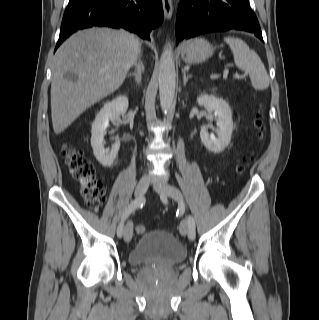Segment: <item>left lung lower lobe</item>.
<instances>
[{"mask_svg": "<svg viewBox=\"0 0 319 320\" xmlns=\"http://www.w3.org/2000/svg\"><path fill=\"white\" fill-rule=\"evenodd\" d=\"M244 30L263 41L258 20L249 0H183L176 20L177 43L199 34Z\"/></svg>", "mask_w": 319, "mask_h": 320, "instance_id": "obj_1", "label": "left lung lower lobe"}]
</instances>
